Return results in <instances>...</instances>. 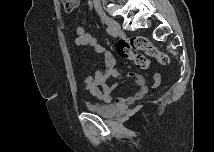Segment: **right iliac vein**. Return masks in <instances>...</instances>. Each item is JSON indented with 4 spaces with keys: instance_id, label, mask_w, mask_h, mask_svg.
Listing matches in <instances>:
<instances>
[{
    "instance_id": "obj_1",
    "label": "right iliac vein",
    "mask_w": 215,
    "mask_h": 152,
    "mask_svg": "<svg viewBox=\"0 0 215 152\" xmlns=\"http://www.w3.org/2000/svg\"><path fill=\"white\" fill-rule=\"evenodd\" d=\"M101 19L115 33L121 32V27L117 21L113 20L112 18L107 17L106 15H101Z\"/></svg>"
}]
</instances>
